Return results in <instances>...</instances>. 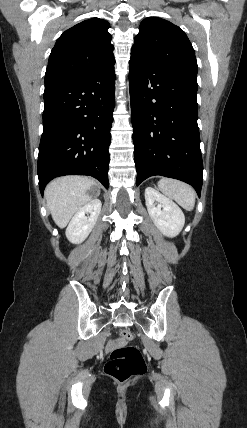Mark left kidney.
Listing matches in <instances>:
<instances>
[{"label":"left kidney","instance_id":"5707ae66","mask_svg":"<svg viewBox=\"0 0 247 428\" xmlns=\"http://www.w3.org/2000/svg\"><path fill=\"white\" fill-rule=\"evenodd\" d=\"M145 201L155 226L168 237L177 236L185 223V216L178 205L152 187L145 189Z\"/></svg>","mask_w":247,"mask_h":428}]
</instances>
